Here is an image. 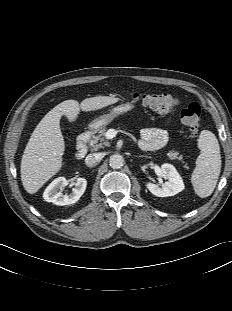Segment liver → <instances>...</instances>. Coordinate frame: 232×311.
<instances>
[{
	"mask_svg": "<svg viewBox=\"0 0 232 311\" xmlns=\"http://www.w3.org/2000/svg\"><path fill=\"white\" fill-rule=\"evenodd\" d=\"M119 98L96 96L65 100L49 111L34 129L21 160V181L24 189L36 193L62 167L65 143L60 129V119L65 115L70 122L77 119L80 110L95 111L112 105Z\"/></svg>",
	"mask_w": 232,
	"mask_h": 311,
	"instance_id": "1",
	"label": "liver"
}]
</instances>
